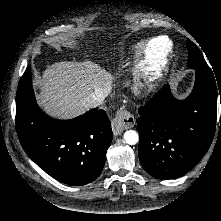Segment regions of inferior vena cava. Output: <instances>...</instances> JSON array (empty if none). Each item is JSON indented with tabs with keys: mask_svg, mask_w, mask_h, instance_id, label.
Listing matches in <instances>:
<instances>
[{
	"mask_svg": "<svg viewBox=\"0 0 221 221\" xmlns=\"http://www.w3.org/2000/svg\"><path fill=\"white\" fill-rule=\"evenodd\" d=\"M109 92L110 90L107 88H96L92 94L85 98L84 106L86 108H94L101 105Z\"/></svg>",
	"mask_w": 221,
	"mask_h": 221,
	"instance_id": "obj_1",
	"label": "inferior vena cava"
}]
</instances>
